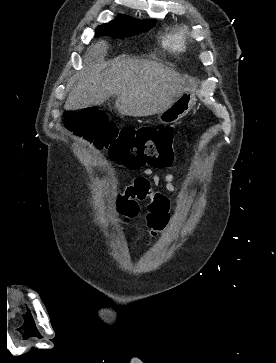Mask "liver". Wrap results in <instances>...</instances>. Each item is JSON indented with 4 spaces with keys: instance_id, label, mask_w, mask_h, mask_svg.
<instances>
[{
    "instance_id": "1",
    "label": "liver",
    "mask_w": 276,
    "mask_h": 363,
    "mask_svg": "<svg viewBox=\"0 0 276 363\" xmlns=\"http://www.w3.org/2000/svg\"><path fill=\"white\" fill-rule=\"evenodd\" d=\"M107 48L105 41L91 45L85 55L87 61L91 63ZM187 90L185 78L173 68L120 56L102 69L74 77L64 108L78 110L101 105L116 95L115 106L121 115L149 116L166 109Z\"/></svg>"
}]
</instances>
